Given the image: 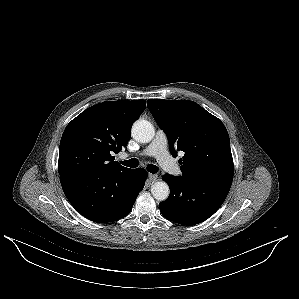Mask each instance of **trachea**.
Returning <instances> with one entry per match:
<instances>
[{"mask_svg":"<svg viewBox=\"0 0 299 299\" xmlns=\"http://www.w3.org/2000/svg\"><path fill=\"white\" fill-rule=\"evenodd\" d=\"M120 163L124 166L131 167V168H136L139 165V161L136 158L120 161ZM147 170L150 173H156L158 171V167L153 164H149L147 165Z\"/></svg>","mask_w":299,"mask_h":299,"instance_id":"obj_1","label":"trachea"}]
</instances>
